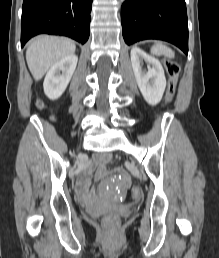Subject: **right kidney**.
Segmentation results:
<instances>
[{
	"instance_id": "1",
	"label": "right kidney",
	"mask_w": 219,
	"mask_h": 258,
	"mask_svg": "<svg viewBox=\"0 0 219 258\" xmlns=\"http://www.w3.org/2000/svg\"><path fill=\"white\" fill-rule=\"evenodd\" d=\"M77 62L78 57L73 54L61 59L49 69L43 83L44 93L49 99H58L64 93Z\"/></svg>"
}]
</instances>
